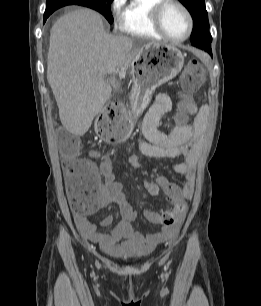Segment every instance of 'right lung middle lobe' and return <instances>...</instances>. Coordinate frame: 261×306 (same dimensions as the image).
Instances as JSON below:
<instances>
[{
	"instance_id": "right-lung-middle-lobe-1",
	"label": "right lung middle lobe",
	"mask_w": 261,
	"mask_h": 306,
	"mask_svg": "<svg viewBox=\"0 0 261 306\" xmlns=\"http://www.w3.org/2000/svg\"><path fill=\"white\" fill-rule=\"evenodd\" d=\"M113 0H74V1H68V0H47L46 4V10L45 13L54 12L58 8H61L66 5H81L85 7L92 8L98 12H100L109 23L113 22V17L111 14V2Z\"/></svg>"
}]
</instances>
